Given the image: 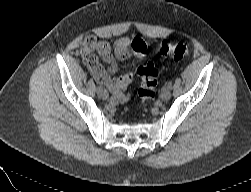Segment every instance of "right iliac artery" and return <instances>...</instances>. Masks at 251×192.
I'll return each instance as SVG.
<instances>
[{"mask_svg": "<svg viewBox=\"0 0 251 192\" xmlns=\"http://www.w3.org/2000/svg\"><path fill=\"white\" fill-rule=\"evenodd\" d=\"M102 90H103V89H102L101 86H98V87H97V93H98V94H100V93L102 92Z\"/></svg>", "mask_w": 251, "mask_h": 192, "instance_id": "1", "label": "right iliac artery"}]
</instances>
